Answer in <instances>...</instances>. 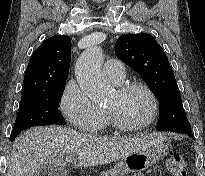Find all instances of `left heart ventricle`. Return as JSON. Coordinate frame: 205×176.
I'll return each instance as SVG.
<instances>
[{"label": "left heart ventricle", "mask_w": 205, "mask_h": 176, "mask_svg": "<svg viewBox=\"0 0 205 176\" xmlns=\"http://www.w3.org/2000/svg\"><path fill=\"white\" fill-rule=\"evenodd\" d=\"M114 110L128 124H138L146 120L151 112V102L148 96L136 90L126 95L117 92L106 106Z\"/></svg>", "instance_id": "obj_1"}]
</instances>
